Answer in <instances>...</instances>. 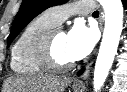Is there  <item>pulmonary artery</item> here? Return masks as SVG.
I'll use <instances>...</instances> for the list:
<instances>
[{"mask_svg":"<svg viewBox=\"0 0 127 92\" xmlns=\"http://www.w3.org/2000/svg\"><path fill=\"white\" fill-rule=\"evenodd\" d=\"M96 4L91 1H80L69 5H61L50 8L47 16L57 25L74 13L89 14L95 11Z\"/></svg>","mask_w":127,"mask_h":92,"instance_id":"1","label":"pulmonary artery"}]
</instances>
